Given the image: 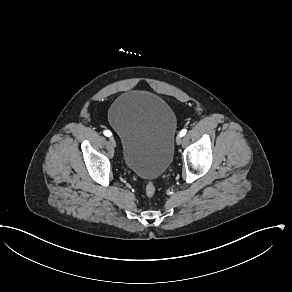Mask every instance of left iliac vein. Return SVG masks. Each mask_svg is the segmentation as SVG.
I'll return each mask as SVG.
<instances>
[{"mask_svg": "<svg viewBox=\"0 0 292 292\" xmlns=\"http://www.w3.org/2000/svg\"><path fill=\"white\" fill-rule=\"evenodd\" d=\"M176 143H177L178 145H180V144L182 143V137H181V136H177V138H176Z\"/></svg>", "mask_w": 292, "mask_h": 292, "instance_id": "1", "label": "left iliac vein"}]
</instances>
